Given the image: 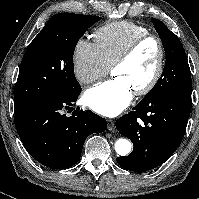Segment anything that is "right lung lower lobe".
Segmentation results:
<instances>
[{
	"mask_svg": "<svg viewBox=\"0 0 199 199\" xmlns=\"http://www.w3.org/2000/svg\"><path fill=\"white\" fill-rule=\"evenodd\" d=\"M78 96L45 101L15 116V126L26 150L46 167L73 166L80 159L86 138L107 127L106 120L90 110H74L70 117L63 114Z\"/></svg>",
	"mask_w": 199,
	"mask_h": 199,
	"instance_id": "obj_1",
	"label": "right lung lower lobe"
}]
</instances>
